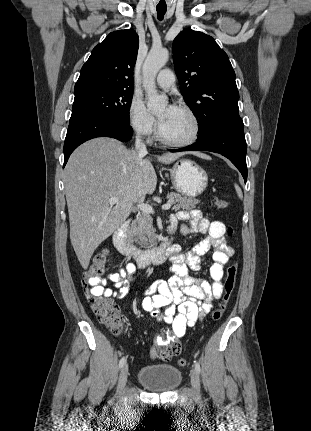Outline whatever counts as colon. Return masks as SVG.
I'll list each match as a JSON object with an SVG mask.
<instances>
[{
  "label": "colon",
  "instance_id": "1",
  "mask_svg": "<svg viewBox=\"0 0 311 431\" xmlns=\"http://www.w3.org/2000/svg\"><path fill=\"white\" fill-rule=\"evenodd\" d=\"M214 205L219 209H226L228 207V202L224 199L217 198L214 200ZM232 232V229L228 228L227 235L231 236ZM107 255L108 251L102 250L94 257L91 265L83 275L82 282L86 295L92 303L93 310L98 319L102 323L106 324L112 333L118 335L124 330V321L117 305L110 298L99 295L95 292L96 287L99 285L100 277L105 270ZM237 270V263H232L227 268L223 284V296L221 302L212 313V318L214 320H219L226 309L227 303L235 288ZM180 350L181 345L178 341L172 339H160L157 340L152 347L150 356L153 359L169 360L176 356ZM178 363L180 366H186L187 360L185 358H180Z\"/></svg>",
  "mask_w": 311,
  "mask_h": 431
}]
</instances>
